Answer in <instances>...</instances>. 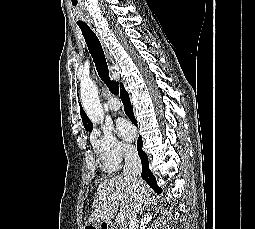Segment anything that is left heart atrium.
Listing matches in <instances>:
<instances>
[{
    "label": "left heart atrium",
    "mask_w": 255,
    "mask_h": 229,
    "mask_svg": "<svg viewBox=\"0 0 255 229\" xmlns=\"http://www.w3.org/2000/svg\"><path fill=\"white\" fill-rule=\"evenodd\" d=\"M117 133L125 140H132L135 135L133 126L125 119L120 118L116 124Z\"/></svg>",
    "instance_id": "obj_1"
}]
</instances>
